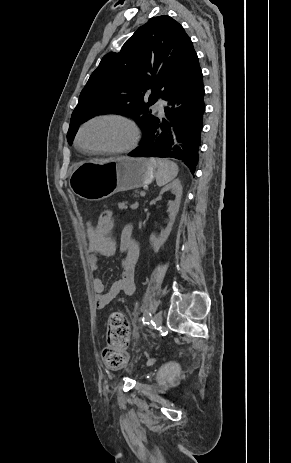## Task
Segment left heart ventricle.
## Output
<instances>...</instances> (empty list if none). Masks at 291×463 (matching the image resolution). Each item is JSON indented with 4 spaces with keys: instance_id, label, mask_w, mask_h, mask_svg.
Returning <instances> with one entry per match:
<instances>
[{
    "instance_id": "1",
    "label": "left heart ventricle",
    "mask_w": 291,
    "mask_h": 463,
    "mask_svg": "<svg viewBox=\"0 0 291 463\" xmlns=\"http://www.w3.org/2000/svg\"><path fill=\"white\" fill-rule=\"evenodd\" d=\"M130 130L119 121H98L87 126L81 135L84 147H120L128 143Z\"/></svg>"
}]
</instances>
